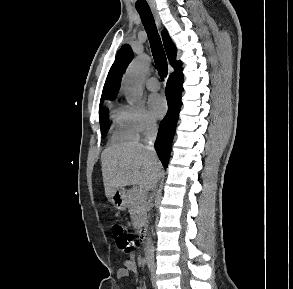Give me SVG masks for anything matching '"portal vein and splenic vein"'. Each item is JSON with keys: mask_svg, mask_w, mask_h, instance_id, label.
<instances>
[{"mask_svg": "<svg viewBox=\"0 0 293 289\" xmlns=\"http://www.w3.org/2000/svg\"><path fill=\"white\" fill-rule=\"evenodd\" d=\"M134 190H135L136 192H140V193H142V190H141L140 188H134Z\"/></svg>", "mask_w": 293, "mask_h": 289, "instance_id": "1", "label": "portal vein and splenic vein"}]
</instances>
